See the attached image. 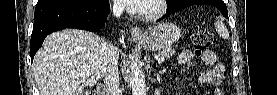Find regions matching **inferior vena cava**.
<instances>
[{
	"label": "inferior vena cava",
	"instance_id": "obj_1",
	"mask_svg": "<svg viewBox=\"0 0 277 95\" xmlns=\"http://www.w3.org/2000/svg\"><path fill=\"white\" fill-rule=\"evenodd\" d=\"M112 12L118 18L123 13V8L120 5L114 4ZM118 56L117 48L112 44H107L104 60V84L108 95L122 94L119 88Z\"/></svg>",
	"mask_w": 277,
	"mask_h": 95
}]
</instances>
